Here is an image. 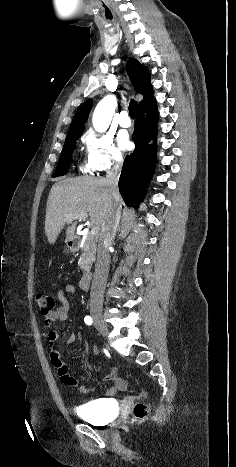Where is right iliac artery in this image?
Here are the masks:
<instances>
[{"instance_id":"1","label":"right iliac artery","mask_w":236,"mask_h":467,"mask_svg":"<svg viewBox=\"0 0 236 467\" xmlns=\"http://www.w3.org/2000/svg\"><path fill=\"white\" fill-rule=\"evenodd\" d=\"M84 322L87 324V325H91L92 324V318L90 316H86L84 318Z\"/></svg>"}]
</instances>
